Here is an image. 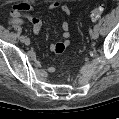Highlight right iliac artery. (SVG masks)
Wrapping results in <instances>:
<instances>
[{"label":"right iliac artery","mask_w":119,"mask_h":119,"mask_svg":"<svg viewBox=\"0 0 119 119\" xmlns=\"http://www.w3.org/2000/svg\"><path fill=\"white\" fill-rule=\"evenodd\" d=\"M25 39V36L21 35L20 40L23 41Z\"/></svg>","instance_id":"1"}]
</instances>
